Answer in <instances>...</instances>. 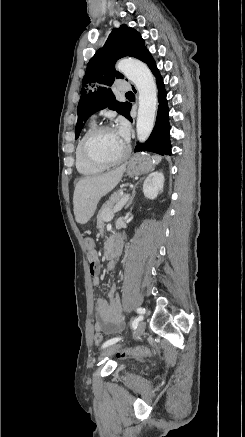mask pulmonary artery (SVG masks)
<instances>
[{"mask_svg":"<svg viewBox=\"0 0 245 437\" xmlns=\"http://www.w3.org/2000/svg\"><path fill=\"white\" fill-rule=\"evenodd\" d=\"M118 91L127 92L131 89V86L128 82L120 81L117 85Z\"/></svg>","mask_w":245,"mask_h":437,"instance_id":"1","label":"pulmonary artery"}]
</instances>
